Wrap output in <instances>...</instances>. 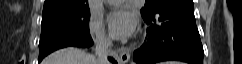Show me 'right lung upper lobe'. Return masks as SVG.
Returning a JSON list of instances; mask_svg holds the SVG:
<instances>
[{"label": "right lung upper lobe", "mask_w": 242, "mask_h": 64, "mask_svg": "<svg viewBox=\"0 0 242 64\" xmlns=\"http://www.w3.org/2000/svg\"><path fill=\"white\" fill-rule=\"evenodd\" d=\"M87 0H45L43 13L87 9Z\"/></svg>", "instance_id": "cb5924a9"}]
</instances>
